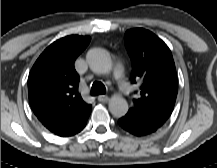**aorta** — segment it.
Segmentation results:
<instances>
[{
    "mask_svg": "<svg viewBox=\"0 0 217 168\" xmlns=\"http://www.w3.org/2000/svg\"><path fill=\"white\" fill-rule=\"evenodd\" d=\"M90 69L99 74H106L112 70V60L109 54L100 48L90 49L86 55ZM109 110L115 117H122L128 112L127 101L118 95H114L109 100Z\"/></svg>",
    "mask_w": 217,
    "mask_h": 168,
    "instance_id": "762f6f07",
    "label": "aorta"
}]
</instances>
